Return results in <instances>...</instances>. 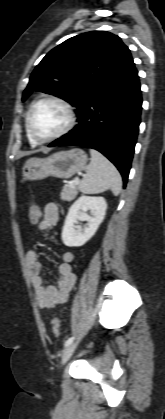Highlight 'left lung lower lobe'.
Returning a JSON list of instances; mask_svg holds the SVG:
<instances>
[{"instance_id": "0a47b994", "label": "left lung lower lobe", "mask_w": 165, "mask_h": 419, "mask_svg": "<svg viewBox=\"0 0 165 419\" xmlns=\"http://www.w3.org/2000/svg\"><path fill=\"white\" fill-rule=\"evenodd\" d=\"M141 90L133 59L109 78L77 113L79 124L49 144L96 149L120 171L127 183L141 114Z\"/></svg>"}]
</instances>
